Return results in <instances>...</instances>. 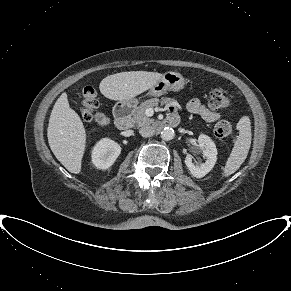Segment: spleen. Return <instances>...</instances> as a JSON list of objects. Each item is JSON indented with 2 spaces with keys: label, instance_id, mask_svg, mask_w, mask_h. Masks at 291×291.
Listing matches in <instances>:
<instances>
[{
  "label": "spleen",
  "instance_id": "obj_1",
  "mask_svg": "<svg viewBox=\"0 0 291 291\" xmlns=\"http://www.w3.org/2000/svg\"><path fill=\"white\" fill-rule=\"evenodd\" d=\"M239 135L234 143L231 154L229 155L224 170L223 176L227 177L235 173L242 163L245 161L251 145V126L248 117L244 116L237 123Z\"/></svg>",
  "mask_w": 291,
  "mask_h": 291
}]
</instances>
